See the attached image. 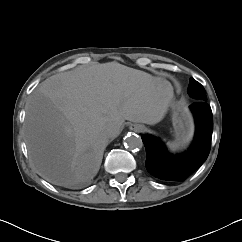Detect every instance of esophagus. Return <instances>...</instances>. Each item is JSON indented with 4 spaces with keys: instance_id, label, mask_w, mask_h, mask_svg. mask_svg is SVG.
Listing matches in <instances>:
<instances>
[{
    "instance_id": "obj_1",
    "label": "esophagus",
    "mask_w": 242,
    "mask_h": 242,
    "mask_svg": "<svg viewBox=\"0 0 242 242\" xmlns=\"http://www.w3.org/2000/svg\"><path fill=\"white\" fill-rule=\"evenodd\" d=\"M130 130L135 131V132H143L144 126H142V125H131Z\"/></svg>"
}]
</instances>
